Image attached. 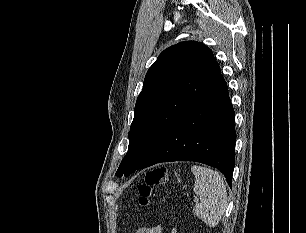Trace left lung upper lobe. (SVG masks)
Returning <instances> with one entry per match:
<instances>
[{"label": "left lung upper lobe", "mask_w": 306, "mask_h": 233, "mask_svg": "<svg viewBox=\"0 0 306 233\" xmlns=\"http://www.w3.org/2000/svg\"><path fill=\"white\" fill-rule=\"evenodd\" d=\"M206 45L185 41L165 49L147 71L128 134V153L116 175L129 176L220 76Z\"/></svg>", "instance_id": "left-lung-upper-lobe-1"}]
</instances>
